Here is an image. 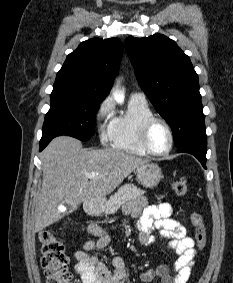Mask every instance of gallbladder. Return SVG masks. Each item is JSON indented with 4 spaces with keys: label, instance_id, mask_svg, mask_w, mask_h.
Returning a JSON list of instances; mask_svg holds the SVG:
<instances>
[{
    "label": "gallbladder",
    "instance_id": "1",
    "mask_svg": "<svg viewBox=\"0 0 233 283\" xmlns=\"http://www.w3.org/2000/svg\"><path fill=\"white\" fill-rule=\"evenodd\" d=\"M68 208H69V210H70V211H74V210H76V209H77V206H74V207L69 206Z\"/></svg>",
    "mask_w": 233,
    "mask_h": 283
}]
</instances>
